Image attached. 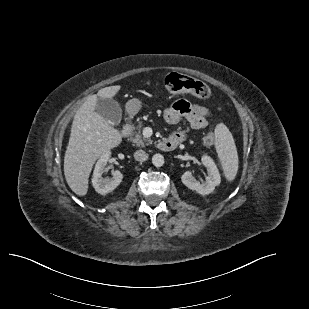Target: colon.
Listing matches in <instances>:
<instances>
[{
    "instance_id": "obj_1",
    "label": "colon",
    "mask_w": 309,
    "mask_h": 309,
    "mask_svg": "<svg viewBox=\"0 0 309 309\" xmlns=\"http://www.w3.org/2000/svg\"><path fill=\"white\" fill-rule=\"evenodd\" d=\"M165 86L176 95H191L202 100L207 99L210 95V90L204 83L178 73L170 74L165 80ZM214 140L212 134H207L203 142L206 145H212Z\"/></svg>"
}]
</instances>
